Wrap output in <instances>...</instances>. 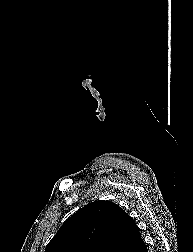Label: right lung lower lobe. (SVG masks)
Listing matches in <instances>:
<instances>
[{
  "mask_svg": "<svg viewBox=\"0 0 193 252\" xmlns=\"http://www.w3.org/2000/svg\"><path fill=\"white\" fill-rule=\"evenodd\" d=\"M132 252H148L143 240L132 250Z\"/></svg>",
  "mask_w": 193,
  "mask_h": 252,
  "instance_id": "1",
  "label": "right lung lower lobe"
}]
</instances>
